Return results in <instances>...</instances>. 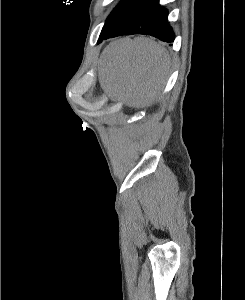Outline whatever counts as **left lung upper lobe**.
I'll return each instance as SVG.
<instances>
[{"mask_svg":"<svg viewBox=\"0 0 245 300\" xmlns=\"http://www.w3.org/2000/svg\"><path fill=\"white\" fill-rule=\"evenodd\" d=\"M144 1L145 0H122L108 16L101 34L107 32L126 13Z\"/></svg>","mask_w":245,"mask_h":300,"instance_id":"obj_1","label":"left lung upper lobe"}]
</instances>
